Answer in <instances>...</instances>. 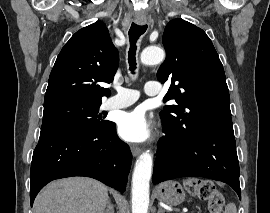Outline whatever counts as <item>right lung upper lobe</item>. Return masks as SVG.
Wrapping results in <instances>:
<instances>
[{"label": "right lung upper lobe", "mask_w": 270, "mask_h": 213, "mask_svg": "<svg viewBox=\"0 0 270 213\" xmlns=\"http://www.w3.org/2000/svg\"><path fill=\"white\" fill-rule=\"evenodd\" d=\"M119 55L106 25L97 21L77 31L59 53L49 76L44 106L77 100L101 103L110 91L99 85L110 83Z\"/></svg>", "instance_id": "obj_1"}]
</instances>
